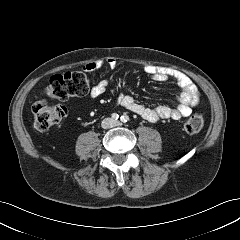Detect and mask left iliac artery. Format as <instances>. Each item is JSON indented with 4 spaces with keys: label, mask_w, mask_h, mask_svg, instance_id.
<instances>
[{
    "label": "left iliac artery",
    "mask_w": 240,
    "mask_h": 240,
    "mask_svg": "<svg viewBox=\"0 0 240 240\" xmlns=\"http://www.w3.org/2000/svg\"><path fill=\"white\" fill-rule=\"evenodd\" d=\"M121 121L123 122V123H126V122H128L129 120H130V118H129V116L128 115H122L121 116Z\"/></svg>",
    "instance_id": "44dca946"
}]
</instances>
